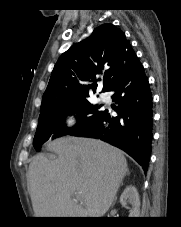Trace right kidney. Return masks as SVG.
I'll list each match as a JSON object with an SVG mask.
<instances>
[{"instance_id":"1","label":"right kidney","mask_w":181,"mask_h":227,"mask_svg":"<svg viewBox=\"0 0 181 227\" xmlns=\"http://www.w3.org/2000/svg\"><path fill=\"white\" fill-rule=\"evenodd\" d=\"M120 203L122 206L129 209V217H139L140 214V198L137 189L129 185L127 186L123 193L120 196ZM127 204H130L131 207H128Z\"/></svg>"}]
</instances>
